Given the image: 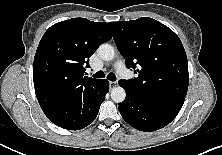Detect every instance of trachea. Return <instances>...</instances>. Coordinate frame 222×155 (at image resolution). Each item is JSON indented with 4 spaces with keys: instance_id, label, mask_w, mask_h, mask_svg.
<instances>
[{
    "instance_id": "trachea-1",
    "label": "trachea",
    "mask_w": 222,
    "mask_h": 155,
    "mask_svg": "<svg viewBox=\"0 0 222 155\" xmlns=\"http://www.w3.org/2000/svg\"><path fill=\"white\" fill-rule=\"evenodd\" d=\"M94 78H104L105 77V74L103 71H98L96 72L94 75H93ZM107 79L110 80V81H115L116 80V76L115 74L113 73H109L107 75Z\"/></svg>"
}]
</instances>
